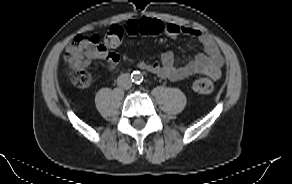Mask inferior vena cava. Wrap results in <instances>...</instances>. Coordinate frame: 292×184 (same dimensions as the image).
Wrapping results in <instances>:
<instances>
[{"instance_id":"1","label":"inferior vena cava","mask_w":292,"mask_h":184,"mask_svg":"<svg viewBox=\"0 0 292 184\" xmlns=\"http://www.w3.org/2000/svg\"><path fill=\"white\" fill-rule=\"evenodd\" d=\"M117 84L121 88L130 89L132 87V81H131L130 75L128 73L121 74L117 78Z\"/></svg>"}]
</instances>
